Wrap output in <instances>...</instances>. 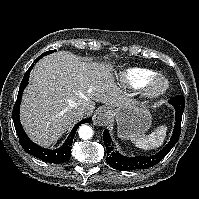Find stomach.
<instances>
[{
    "mask_svg": "<svg viewBox=\"0 0 199 199\" xmlns=\"http://www.w3.org/2000/svg\"><path fill=\"white\" fill-rule=\"evenodd\" d=\"M111 119L116 121L118 135L122 139H129L133 135L144 134L152 122L148 108L133 100H127L110 112Z\"/></svg>",
    "mask_w": 199,
    "mask_h": 199,
    "instance_id": "0dacf381",
    "label": "stomach"
}]
</instances>
